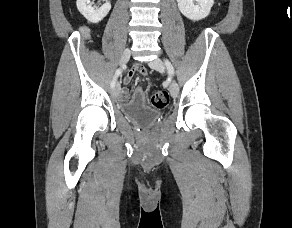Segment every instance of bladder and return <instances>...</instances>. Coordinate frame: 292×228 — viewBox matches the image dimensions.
<instances>
[{
	"instance_id": "obj_1",
	"label": "bladder",
	"mask_w": 292,
	"mask_h": 228,
	"mask_svg": "<svg viewBox=\"0 0 292 228\" xmlns=\"http://www.w3.org/2000/svg\"><path fill=\"white\" fill-rule=\"evenodd\" d=\"M121 111L125 118L142 125L150 124L156 121L160 116L159 111L154 108L133 103L123 105Z\"/></svg>"
}]
</instances>
